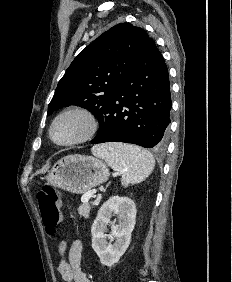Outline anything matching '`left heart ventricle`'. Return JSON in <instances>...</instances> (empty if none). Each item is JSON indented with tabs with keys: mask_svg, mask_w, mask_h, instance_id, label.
I'll return each instance as SVG.
<instances>
[{
	"mask_svg": "<svg viewBox=\"0 0 232 282\" xmlns=\"http://www.w3.org/2000/svg\"><path fill=\"white\" fill-rule=\"evenodd\" d=\"M84 128V123L78 118H67L59 122L53 131V136L58 141H66L78 136Z\"/></svg>",
	"mask_w": 232,
	"mask_h": 282,
	"instance_id": "1",
	"label": "left heart ventricle"
}]
</instances>
